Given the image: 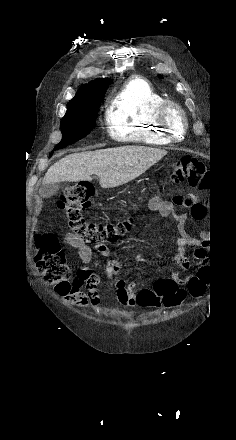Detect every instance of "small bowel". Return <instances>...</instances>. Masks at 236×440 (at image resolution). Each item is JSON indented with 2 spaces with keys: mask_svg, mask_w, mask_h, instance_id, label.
Masks as SVG:
<instances>
[{
  "mask_svg": "<svg viewBox=\"0 0 236 440\" xmlns=\"http://www.w3.org/2000/svg\"><path fill=\"white\" fill-rule=\"evenodd\" d=\"M176 207H183L190 210V213H178ZM148 208L158 213L161 217L174 216L177 222V231L179 233L176 239V251L170 258L169 262L158 268V271L164 272L170 270L173 281L179 287L188 286L193 277L198 276L201 279L199 271L197 274L189 273L184 274L191 268H195L194 264L187 256L186 250L191 247H195L197 244V238L186 231L185 222L191 217L195 220H202L204 218V208L198 204L196 196L194 194H186L184 196L178 195L171 200H163L160 197H153L148 203ZM61 243L65 246L72 247L77 250L80 258L86 265L78 271L74 282L72 284L71 291L66 295V299L78 306V307H91L97 308L100 305V297L97 292V287L101 283L102 276H106L109 283H113L115 287L116 295L119 301L126 307H134L139 305V296L141 294L136 292L135 285L127 282L124 278L120 277L121 266L116 260H109L102 272H92L89 268V264L93 258V250L79 238L75 237L71 233H65L62 237ZM94 250L102 255L108 256L109 248L104 244L96 245ZM138 262H143L142 257H137ZM86 289V292L83 291ZM162 306V303L149 304L145 307L156 308Z\"/></svg>",
  "mask_w": 236,
  "mask_h": 440,
  "instance_id": "small-bowel-1",
  "label": "small bowel"
}]
</instances>
